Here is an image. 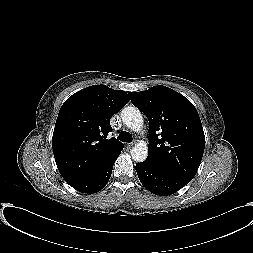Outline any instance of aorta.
Wrapping results in <instances>:
<instances>
[{
  "label": "aorta",
  "mask_w": 253,
  "mask_h": 253,
  "mask_svg": "<svg viewBox=\"0 0 253 253\" xmlns=\"http://www.w3.org/2000/svg\"><path fill=\"white\" fill-rule=\"evenodd\" d=\"M123 123L135 132H139L143 127V116L141 112L132 106L125 107L121 111ZM132 159L136 162H143L148 156V147L145 143L139 142L131 150Z\"/></svg>",
  "instance_id": "1"
}]
</instances>
